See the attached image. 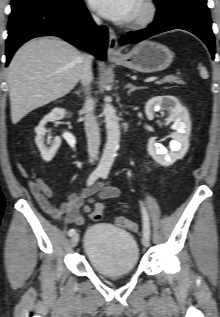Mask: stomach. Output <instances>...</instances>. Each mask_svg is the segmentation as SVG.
Instances as JSON below:
<instances>
[{
  "mask_svg": "<svg viewBox=\"0 0 220 317\" xmlns=\"http://www.w3.org/2000/svg\"><path fill=\"white\" fill-rule=\"evenodd\" d=\"M112 61L133 71L152 73L168 68L173 61V53L165 45L146 40L129 53L113 57Z\"/></svg>",
  "mask_w": 220,
  "mask_h": 317,
  "instance_id": "1",
  "label": "stomach"
}]
</instances>
